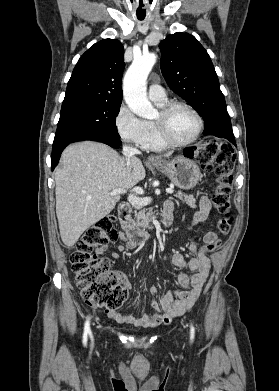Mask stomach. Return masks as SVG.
Masks as SVG:
<instances>
[{"mask_svg":"<svg viewBox=\"0 0 279 391\" xmlns=\"http://www.w3.org/2000/svg\"><path fill=\"white\" fill-rule=\"evenodd\" d=\"M154 167L169 177L171 182L180 189L188 190L195 187L200 179L199 167L193 160L178 156L172 160H160Z\"/></svg>","mask_w":279,"mask_h":391,"instance_id":"stomach-1","label":"stomach"}]
</instances>
